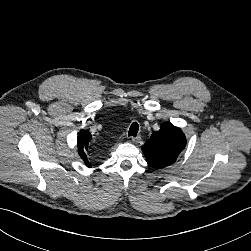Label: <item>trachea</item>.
Masks as SVG:
<instances>
[{
    "instance_id": "obj_1",
    "label": "trachea",
    "mask_w": 251,
    "mask_h": 251,
    "mask_svg": "<svg viewBox=\"0 0 251 251\" xmlns=\"http://www.w3.org/2000/svg\"><path fill=\"white\" fill-rule=\"evenodd\" d=\"M138 130H139V125L137 122H133L129 128V131H128V136H133L135 137L138 133Z\"/></svg>"
}]
</instances>
